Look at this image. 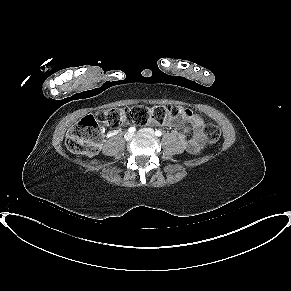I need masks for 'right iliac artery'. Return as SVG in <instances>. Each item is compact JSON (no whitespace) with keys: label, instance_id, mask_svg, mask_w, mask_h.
I'll use <instances>...</instances> for the list:
<instances>
[{"label":"right iliac artery","instance_id":"obj_1","mask_svg":"<svg viewBox=\"0 0 291 291\" xmlns=\"http://www.w3.org/2000/svg\"><path fill=\"white\" fill-rule=\"evenodd\" d=\"M128 131H129L130 133H133V132L136 131V128H135V127H130V128L128 129Z\"/></svg>","mask_w":291,"mask_h":291}]
</instances>
